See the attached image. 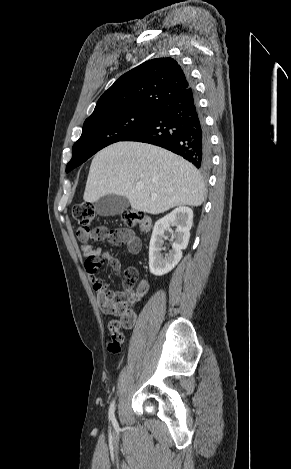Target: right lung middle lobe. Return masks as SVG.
Listing matches in <instances>:
<instances>
[{
    "label": "right lung middle lobe",
    "instance_id": "dd1d6c3e",
    "mask_svg": "<svg viewBox=\"0 0 291 469\" xmlns=\"http://www.w3.org/2000/svg\"><path fill=\"white\" fill-rule=\"evenodd\" d=\"M153 111L131 109L106 117L87 119L80 139L72 148V159L67 164L66 172L81 165L107 145L122 141L142 126Z\"/></svg>",
    "mask_w": 291,
    "mask_h": 469
}]
</instances>
